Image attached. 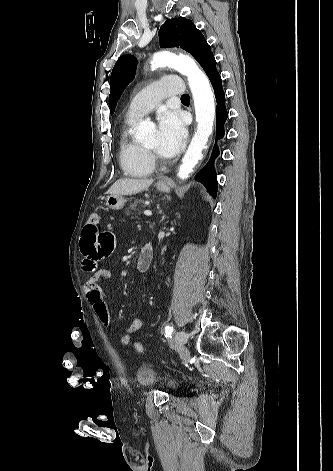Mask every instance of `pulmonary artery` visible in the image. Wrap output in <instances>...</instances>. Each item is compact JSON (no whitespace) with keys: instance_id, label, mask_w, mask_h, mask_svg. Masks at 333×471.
Here are the masks:
<instances>
[{"instance_id":"obj_1","label":"pulmonary artery","mask_w":333,"mask_h":471,"mask_svg":"<svg viewBox=\"0 0 333 471\" xmlns=\"http://www.w3.org/2000/svg\"><path fill=\"white\" fill-rule=\"evenodd\" d=\"M182 79L178 76L163 77L140 91L128 106L126 116L136 119L151 112L166 97L184 94Z\"/></svg>"}]
</instances>
